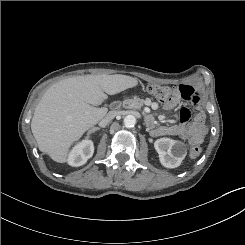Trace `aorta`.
<instances>
[{"label": "aorta", "instance_id": "762f6f07", "mask_svg": "<svg viewBox=\"0 0 245 245\" xmlns=\"http://www.w3.org/2000/svg\"><path fill=\"white\" fill-rule=\"evenodd\" d=\"M123 123L125 127L132 128L136 124V117L133 115H127L125 116Z\"/></svg>", "mask_w": 245, "mask_h": 245}]
</instances>
